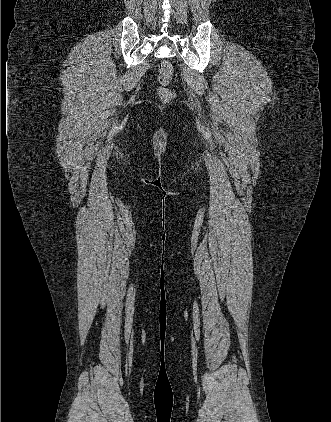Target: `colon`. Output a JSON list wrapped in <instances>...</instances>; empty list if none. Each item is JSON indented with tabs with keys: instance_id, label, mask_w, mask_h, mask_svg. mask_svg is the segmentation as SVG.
I'll return each mask as SVG.
<instances>
[{
	"instance_id": "1",
	"label": "colon",
	"mask_w": 331,
	"mask_h": 422,
	"mask_svg": "<svg viewBox=\"0 0 331 422\" xmlns=\"http://www.w3.org/2000/svg\"><path fill=\"white\" fill-rule=\"evenodd\" d=\"M173 75V66L168 61H163L159 64V74H158V83L157 93L159 99L164 102H170L174 98V92L168 88V84Z\"/></svg>"
}]
</instances>
